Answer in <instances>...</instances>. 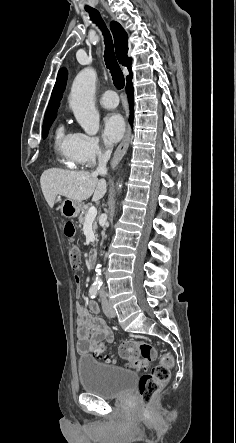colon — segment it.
I'll return each mask as SVG.
<instances>
[{
	"instance_id": "5ec220e1",
	"label": "colon",
	"mask_w": 236,
	"mask_h": 443,
	"mask_svg": "<svg viewBox=\"0 0 236 443\" xmlns=\"http://www.w3.org/2000/svg\"><path fill=\"white\" fill-rule=\"evenodd\" d=\"M65 236L75 240L76 226L73 222H67L64 226ZM69 264L72 269L80 265V249L72 245L68 253ZM92 354L98 360L106 363H114L115 360L106 354L104 344L100 343L92 348ZM119 355L124 359L125 366L136 370H146L150 362L156 357L154 346L144 340L129 339L121 341L118 346ZM161 363L155 366L149 373H145L139 380L138 392L141 403L147 405L152 398L165 386L170 377V368L173 366V358L169 354L161 356Z\"/></svg>"
}]
</instances>
